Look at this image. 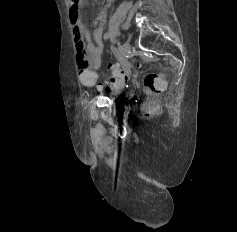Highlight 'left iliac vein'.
Listing matches in <instances>:
<instances>
[{"label": "left iliac vein", "mask_w": 237, "mask_h": 232, "mask_svg": "<svg viewBox=\"0 0 237 232\" xmlns=\"http://www.w3.org/2000/svg\"><path fill=\"white\" fill-rule=\"evenodd\" d=\"M121 49L123 53H129L131 51V45L128 42H124Z\"/></svg>", "instance_id": "obj_1"}]
</instances>
